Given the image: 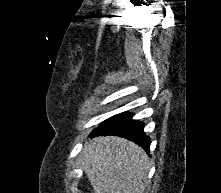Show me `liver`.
<instances>
[{"mask_svg": "<svg viewBox=\"0 0 221 193\" xmlns=\"http://www.w3.org/2000/svg\"><path fill=\"white\" fill-rule=\"evenodd\" d=\"M81 165L94 193H144L148 183V155L121 137H96L86 142Z\"/></svg>", "mask_w": 221, "mask_h": 193, "instance_id": "6515ba94", "label": "liver"}]
</instances>
